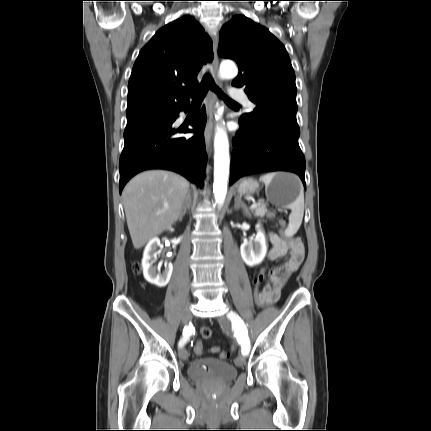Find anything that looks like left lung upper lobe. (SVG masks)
Masks as SVG:
<instances>
[{
	"mask_svg": "<svg viewBox=\"0 0 431 431\" xmlns=\"http://www.w3.org/2000/svg\"><path fill=\"white\" fill-rule=\"evenodd\" d=\"M218 54L237 62L239 74L233 86L243 87L257 106L239 122L275 119L296 125L295 73L283 44L264 26L245 16H235L220 32Z\"/></svg>",
	"mask_w": 431,
	"mask_h": 431,
	"instance_id": "left-lung-upper-lobe-1",
	"label": "left lung upper lobe"
}]
</instances>
